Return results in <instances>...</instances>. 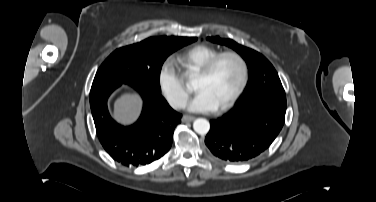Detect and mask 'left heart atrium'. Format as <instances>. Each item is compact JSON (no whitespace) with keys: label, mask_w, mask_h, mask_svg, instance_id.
<instances>
[{"label":"left heart atrium","mask_w":376,"mask_h":202,"mask_svg":"<svg viewBox=\"0 0 376 202\" xmlns=\"http://www.w3.org/2000/svg\"><path fill=\"white\" fill-rule=\"evenodd\" d=\"M187 108L194 112H208L216 110L217 106L205 90H198L187 103Z\"/></svg>","instance_id":"obj_1"}]
</instances>
